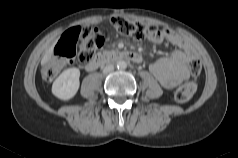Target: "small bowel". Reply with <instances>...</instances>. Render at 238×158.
Segmentation results:
<instances>
[{
	"instance_id": "small-bowel-1",
	"label": "small bowel",
	"mask_w": 238,
	"mask_h": 158,
	"mask_svg": "<svg viewBox=\"0 0 238 158\" xmlns=\"http://www.w3.org/2000/svg\"><path fill=\"white\" fill-rule=\"evenodd\" d=\"M156 44L168 42L175 46V50L166 57L159 58L150 64L151 73L159 83L173 89L189 77L187 64L196 57L195 50L176 32L163 29L159 36L151 39Z\"/></svg>"
}]
</instances>
